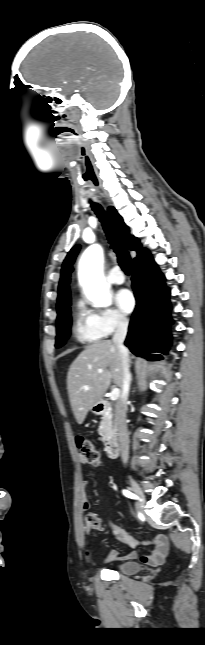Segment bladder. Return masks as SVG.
<instances>
[{
	"instance_id": "1",
	"label": "bladder",
	"mask_w": 205,
	"mask_h": 645,
	"mask_svg": "<svg viewBox=\"0 0 205 645\" xmlns=\"http://www.w3.org/2000/svg\"><path fill=\"white\" fill-rule=\"evenodd\" d=\"M114 570L125 575H133L141 570V564L136 561H124L116 564Z\"/></svg>"
}]
</instances>
